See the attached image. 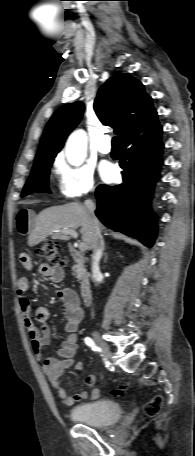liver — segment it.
<instances>
[{
	"mask_svg": "<svg viewBox=\"0 0 195 456\" xmlns=\"http://www.w3.org/2000/svg\"><path fill=\"white\" fill-rule=\"evenodd\" d=\"M87 249H93L94 228L90 215L85 207L78 202L61 206H52L42 210L36 217L35 223L28 236L29 246H35L48 236L54 239L69 240L66 229H77Z\"/></svg>",
	"mask_w": 195,
	"mask_h": 456,
	"instance_id": "1",
	"label": "liver"
}]
</instances>
